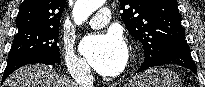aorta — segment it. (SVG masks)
Instances as JSON below:
<instances>
[{
  "label": "aorta",
  "mask_w": 205,
  "mask_h": 87,
  "mask_svg": "<svg viewBox=\"0 0 205 87\" xmlns=\"http://www.w3.org/2000/svg\"><path fill=\"white\" fill-rule=\"evenodd\" d=\"M104 3L105 0H77L72 11L75 24L81 25Z\"/></svg>",
  "instance_id": "762f6f07"
}]
</instances>
